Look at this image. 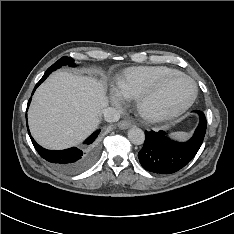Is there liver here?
Returning <instances> with one entry per match:
<instances>
[{"label":"liver","instance_id":"6515ba94","mask_svg":"<svg viewBox=\"0 0 234 234\" xmlns=\"http://www.w3.org/2000/svg\"><path fill=\"white\" fill-rule=\"evenodd\" d=\"M107 104L102 82L88 76L55 72L34 94L28 111L31 134L47 149L74 146L97 128Z\"/></svg>","mask_w":234,"mask_h":234}]
</instances>
